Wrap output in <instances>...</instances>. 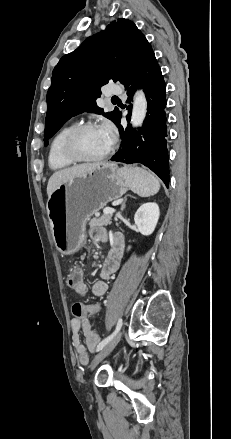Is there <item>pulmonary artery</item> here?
Instances as JSON below:
<instances>
[{
	"label": "pulmonary artery",
	"instance_id": "e3ab8cb5",
	"mask_svg": "<svg viewBox=\"0 0 231 439\" xmlns=\"http://www.w3.org/2000/svg\"><path fill=\"white\" fill-rule=\"evenodd\" d=\"M122 93V89L117 86V85H109L108 89H107V94H120Z\"/></svg>",
	"mask_w": 231,
	"mask_h": 439
}]
</instances>
